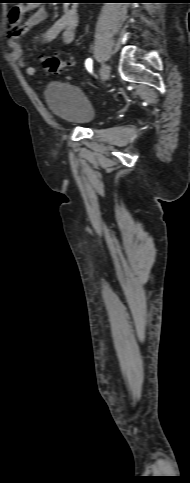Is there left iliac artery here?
<instances>
[{"label": "left iliac artery", "instance_id": "1", "mask_svg": "<svg viewBox=\"0 0 190 483\" xmlns=\"http://www.w3.org/2000/svg\"><path fill=\"white\" fill-rule=\"evenodd\" d=\"M85 66H86L87 70L92 73V59L91 58H88L85 61Z\"/></svg>", "mask_w": 190, "mask_h": 483}]
</instances>
